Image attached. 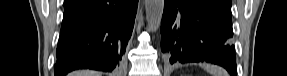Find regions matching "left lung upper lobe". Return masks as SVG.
<instances>
[{
	"instance_id": "1",
	"label": "left lung upper lobe",
	"mask_w": 287,
	"mask_h": 76,
	"mask_svg": "<svg viewBox=\"0 0 287 76\" xmlns=\"http://www.w3.org/2000/svg\"><path fill=\"white\" fill-rule=\"evenodd\" d=\"M210 2V4L223 12L224 14L231 16V0H205Z\"/></svg>"
}]
</instances>
